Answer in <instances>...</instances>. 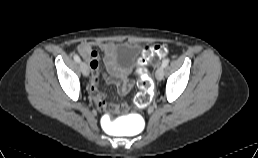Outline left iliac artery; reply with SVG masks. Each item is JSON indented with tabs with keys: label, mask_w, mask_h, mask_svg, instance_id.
Instances as JSON below:
<instances>
[{
	"label": "left iliac artery",
	"mask_w": 258,
	"mask_h": 158,
	"mask_svg": "<svg viewBox=\"0 0 258 158\" xmlns=\"http://www.w3.org/2000/svg\"><path fill=\"white\" fill-rule=\"evenodd\" d=\"M169 61H170L169 58L165 59V60L162 62V67L165 68V67L169 64Z\"/></svg>",
	"instance_id": "obj_1"
}]
</instances>
